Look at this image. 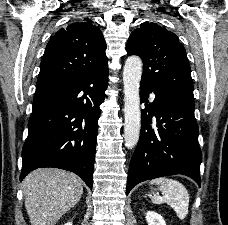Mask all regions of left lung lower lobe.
Listing matches in <instances>:
<instances>
[{
    "mask_svg": "<svg viewBox=\"0 0 228 225\" xmlns=\"http://www.w3.org/2000/svg\"><path fill=\"white\" fill-rule=\"evenodd\" d=\"M149 92L156 97L147 105ZM140 101L146 105L139 142L129 166L126 194L140 182L175 174L189 176L200 186L202 154L194 100L160 92L141 81ZM153 116L156 126H151Z\"/></svg>",
    "mask_w": 228,
    "mask_h": 225,
    "instance_id": "left-lung-lower-lobe-1",
    "label": "left lung lower lobe"
}]
</instances>
